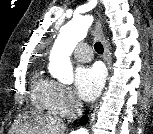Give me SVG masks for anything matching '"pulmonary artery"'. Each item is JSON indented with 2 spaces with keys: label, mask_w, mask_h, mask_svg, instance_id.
Masks as SVG:
<instances>
[{
  "label": "pulmonary artery",
  "mask_w": 153,
  "mask_h": 134,
  "mask_svg": "<svg viewBox=\"0 0 153 134\" xmlns=\"http://www.w3.org/2000/svg\"><path fill=\"white\" fill-rule=\"evenodd\" d=\"M74 56L80 62L90 61L92 53L89 45L86 43L79 44L74 50Z\"/></svg>",
  "instance_id": "pulmonary-artery-1"
}]
</instances>
